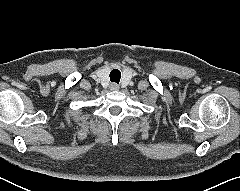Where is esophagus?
<instances>
[{
    "instance_id": "34e87169",
    "label": "esophagus",
    "mask_w": 240,
    "mask_h": 191,
    "mask_svg": "<svg viewBox=\"0 0 240 191\" xmlns=\"http://www.w3.org/2000/svg\"><path fill=\"white\" fill-rule=\"evenodd\" d=\"M111 89L112 90H118L119 89V86L117 84H112L111 85Z\"/></svg>"
}]
</instances>
